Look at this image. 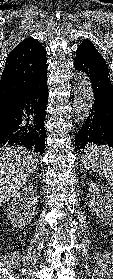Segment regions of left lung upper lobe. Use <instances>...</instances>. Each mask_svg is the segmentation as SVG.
<instances>
[{"label": "left lung upper lobe", "instance_id": "5c2ea615", "mask_svg": "<svg viewBox=\"0 0 113 279\" xmlns=\"http://www.w3.org/2000/svg\"><path fill=\"white\" fill-rule=\"evenodd\" d=\"M76 52L82 53L83 55L107 66L103 56L96 50L95 46L89 40L82 41Z\"/></svg>", "mask_w": 113, "mask_h": 279}]
</instances>
